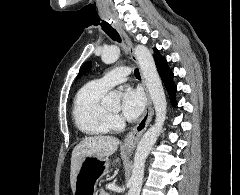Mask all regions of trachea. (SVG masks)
Returning <instances> with one entry per match:
<instances>
[{
    "mask_svg": "<svg viewBox=\"0 0 240 195\" xmlns=\"http://www.w3.org/2000/svg\"><path fill=\"white\" fill-rule=\"evenodd\" d=\"M102 30L115 42H119V43L121 42L120 35L115 30V28L111 27V25L102 26ZM134 73L136 78H141L138 68L135 69Z\"/></svg>",
    "mask_w": 240,
    "mask_h": 195,
    "instance_id": "1",
    "label": "trachea"
}]
</instances>
